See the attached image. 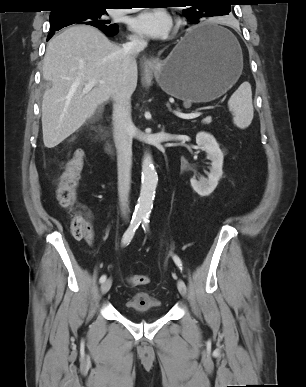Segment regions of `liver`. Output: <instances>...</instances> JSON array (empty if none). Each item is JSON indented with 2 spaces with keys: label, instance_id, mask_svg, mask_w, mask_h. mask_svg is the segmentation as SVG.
<instances>
[{
  "label": "liver",
  "instance_id": "liver-1",
  "mask_svg": "<svg viewBox=\"0 0 306 387\" xmlns=\"http://www.w3.org/2000/svg\"><path fill=\"white\" fill-rule=\"evenodd\" d=\"M122 48L98 29L77 25L53 37L43 60V78L51 83L43 95L42 131L45 147L54 148L113 97L122 75ZM137 63L130 84L137 85ZM91 79L96 84L84 92Z\"/></svg>",
  "mask_w": 306,
  "mask_h": 387
}]
</instances>
